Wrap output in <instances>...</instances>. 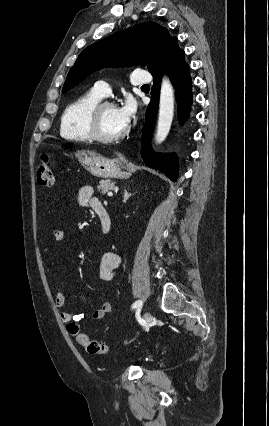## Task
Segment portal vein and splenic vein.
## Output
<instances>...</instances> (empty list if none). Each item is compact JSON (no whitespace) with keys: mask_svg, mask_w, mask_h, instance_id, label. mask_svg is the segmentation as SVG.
Here are the masks:
<instances>
[{"mask_svg":"<svg viewBox=\"0 0 269 426\" xmlns=\"http://www.w3.org/2000/svg\"><path fill=\"white\" fill-rule=\"evenodd\" d=\"M107 195H108L109 197H111V196H113V193H112V192H108V193H107Z\"/></svg>","mask_w":269,"mask_h":426,"instance_id":"obj_1","label":"portal vein and splenic vein"}]
</instances>
